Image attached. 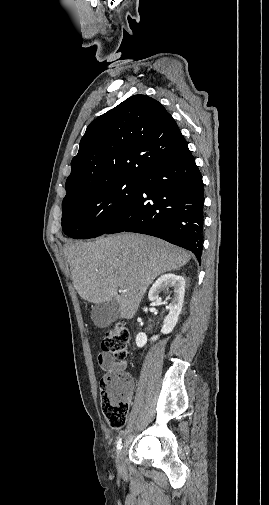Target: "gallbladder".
Here are the masks:
<instances>
[{
  "instance_id": "bac80fb5",
  "label": "gallbladder",
  "mask_w": 269,
  "mask_h": 505,
  "mask_svg": "<svg viewBox=\"0 0 269 505\" xmlns=\"http://www.w3.org/2000/svg\"><path fill=\"white\" fill-rule=\"evenodd\" d=\"M119 316V304L112 300L95 304L92 307L91 319L98 328H106Z\"/></svg>"
}]
</instances>
